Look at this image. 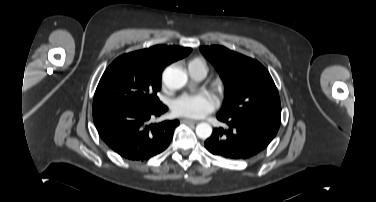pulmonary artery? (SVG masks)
I'll use <instances>...</instances> for the list:
<instances>
[{
  "label": "pulmonary artery",
  "instance_id": "obj_1",
  "mask_svg": "<svg viewBox=\"0 0 376 202\" xmlns=\"http://www.w3.org/2000/svg\"><path fill=\"white\" fill-rule=\"evenodd\" d=\"M191 76L197 80L203 79L207 74V68L198 66L189 69Z\"/></svg>",
  "mask_w": 376,
  "mask_h": 202
}]
</instances>
